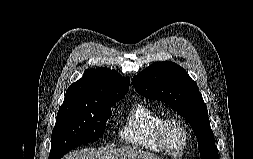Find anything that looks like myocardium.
<instances>
[{
	"label": "myocardium",
	"instance_id": "obj_1",
	"mask_svg": "<svg viewBox=\"0 0 253 159\" xmlns=\"http://www.w3.org/2000/svg\"><path fill=\"white\" fill-rule=\"evenodd\" d=\"M170 124H176L180 127L182 134H183V139H184V143H183V147L180 151L178 152H174L172 150H170L166 144V140H165V135H166V130L167 127ZM156 141L158 143V145L160 146V148L165 151L166 153H168L171 156L174 157H179L182 156L189 144V133H188V129L186 124L184 123V121L182 119H180L177 116H166L164 117L161 122L158 124V127L156 129Z\"/></svg>",
	"mask_w": 253,
	"mask_h": 159
}]
</instances>
